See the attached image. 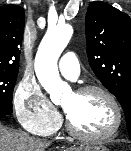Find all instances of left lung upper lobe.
<instances>
[{
	"instance_id": "1",
	"label": "left lung upper lobe",
	"mask_w": 131,
	"mask_h": 151,
	"mask_svg": "<svg viewBox=\"0 0 131 151\" xmlns=\"http://www.w3.org/2000/svg\"><path fill=\"white\" fill-rule=\"evenodd\" d=\"M87 55L102 84L118 99L131 135V21L101 1L89 5L85 18Z\"/></svg>"
}]
</instances>
